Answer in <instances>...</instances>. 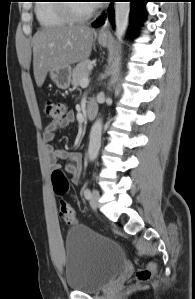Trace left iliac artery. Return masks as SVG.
Wrapping results in <instances>:
<instances>
[{"instance_id": "left-iliac-artery-1", "label": "left iliac artery", "mask_w": 195, "mask_h": 299, "mask_svg": "<svg viewBox=\"0 0 195 299\" xmlns=\"http://www.w3.org/2000/svg\"><path fill=\"white\" fill-rule=\"evenodd\" d=\"M84 196H85L86 199H90L91 198V191L88 188H86L84 190Z\"/></svg>"}]
</instances>
